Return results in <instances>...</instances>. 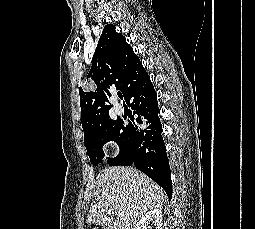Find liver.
Wrapping results in <instances>:
<instances>
[{
    "instance_id": "obj_1",
    "label": "liver",
    "mask_w": 255,
    "mask_h": 229,
    "mask_svg": "<svg viewBox=\"0 0 255 229\" xmlns=\"http://www.w3.org/2000/svg\"><path fill=\"white\" fill-rule=\"evenodd\" d=\"M99 191L91 204L86 222L112 229H134L148 210L161 208L163 189L133 167L116 166L102 170L97 176ZM123 216H118V211ZM114 214L118 219L113 221Z\"/></svg>"
}]
</instances>
